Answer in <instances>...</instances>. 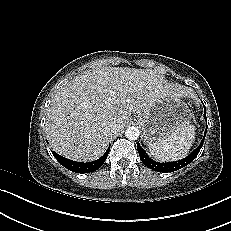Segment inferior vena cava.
I'll return each mask as SVG.
<instances>
[{"label":"inferior vena cava","instance_id":"602c4592","mask_svg":"<svg viewBox=\"0 0 231 231\" xmlns=\"http://www.w3.org/2000/svg\"><path fill=\"white\" fill-rule=\"evenodd\" d=\"M107 131L112 135H116L118 133V129L114 125L108 126Z\"/></svg>","mask_w":231,"mask_h":231}]
</instances>
